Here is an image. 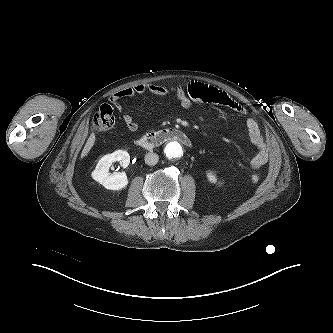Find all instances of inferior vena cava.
<instances>
[{"label":"inferior vena cava","instance_id":"1","mask_svg":"<svg viewBox=\"0 0 333 333\" xmlns=\"http://www.w3.org/2000/svg\"><path fill=\"white\" fill-rule=\"evenodd\" d=\"M159 156L156 153L150 152L145 155V163L149 166H154L157 164Z\"/></svg>","mask_w":333,"mask_h":333}]
</instances>
